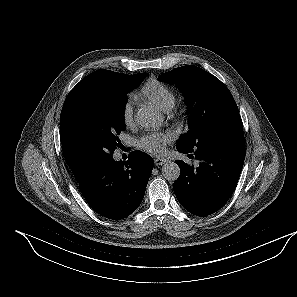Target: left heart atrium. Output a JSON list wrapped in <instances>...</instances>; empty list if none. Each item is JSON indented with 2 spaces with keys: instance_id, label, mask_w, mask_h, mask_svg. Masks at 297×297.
<instances>
[{
  "instance_id": "obj_1",
  "label": "left heart atrium",
  "mask_w": 297,
  "mask_h": 297,
  "mask_svg": "<svg viewBox=\"0 0 297 297\" xmlns=\"http://www.w3.org/2000/svg\"><path fill=\"white\" fill-rule=\"evenodd\" d=\"M172 140V134L169 131L157 130L144 133L137 140L138 148L151 154H162L165 145Z\"/></svg>"
}]
</instances>
